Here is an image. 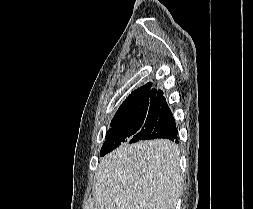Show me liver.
Here are the masks:
<instances>
[{"label": "liver", "instance_id": "1", "mask_svg": "<svg viewBox=\"0 0 253 209\" xmlns=\"http://www.w3.org/2000/svg\"><path fill=\"white\" fill-rule=\"evenodd\" d=\"M179 155L166 139L121 145L100 160L95 209H175L182 192Z\"/></svg>", "mask_w": 253, "mask_h": 209}]
</instances>
